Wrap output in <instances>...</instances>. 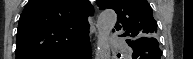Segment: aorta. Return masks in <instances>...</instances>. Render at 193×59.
<instances>
[{
	"instance_id": "1",
	"label": "aorta",
	"mask_w": 193,
	"mask_h": 59,
	"mask_svg": "<svg viewBox=\"0 0 193 59\" xmlns=\"http://www.w3.org/2000/svg\"><path fill=\"white\" fill-rule=\"evenodd\" d=\"M117 21V15L113 10H105L100 13L97 20V50L96 59H110L109 36Z\"/></svg>"
}]
</instances>
